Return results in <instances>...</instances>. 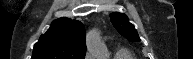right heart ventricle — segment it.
<instances>
[{
	"instance_id": "1",
	"label": "right heart ventricle",
	"mask_w": 193,
	"mask_h": 59,
	"mask_svg": "<svg viewBox=\"0 0 193 59\" xmlns=\"http://www.w3.org/2000/svg\"><path fill=\"white\" fill-rule=\"evenodd\" d=\"M114 59H135V57L126 49L116 51Z\"/></svg>"
}]
</instances>
